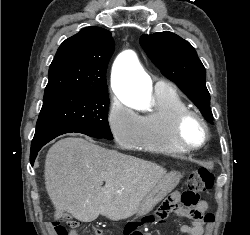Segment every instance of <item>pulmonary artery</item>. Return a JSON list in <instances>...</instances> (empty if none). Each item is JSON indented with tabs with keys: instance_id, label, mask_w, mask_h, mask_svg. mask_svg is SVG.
I'll use <instances>...</instances> for the list:
<instances>
[{
	"instance_id": "e3ab8cb5",
	"label": "pulmonary artery",
	"mask_w": 250,
	"mask_h": 235,
	"mask_svg": "<svg viewBox=\"0 0 250 235\" xmlns=\"http://www.w3.org/2000/svg\"><path fill=\"white\" fill-rule=\"evenodd\" d=\"M168 84L166 83V82H164V81H158L157 83H156V85H155V87L157 88V89H161V88H163V87H165V86H167Z\"/></svg>"
}]
</instances>
